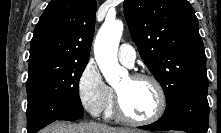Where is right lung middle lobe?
I'll list each match as a JSON object with an SVG mask.
<instances>
[{
  "label": "right lung middle lobe",
  "mask_w": 221,
  "mask_h": 133,
  "mask_svg": "<svg viewBox=\"0 0 221 133\" xmlns=\"http://www.w3.org/2000/svg\"><path fill=\"white\" fill-rule=\"evenodd\" d=\"M87 65L70 63L54 66L28 76V100H37L52 106L66 104L82 106L79 97V80Z\"/></svg>",
  "instance_id": "dd1d6c3e"
}]
</instances>
